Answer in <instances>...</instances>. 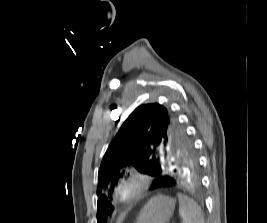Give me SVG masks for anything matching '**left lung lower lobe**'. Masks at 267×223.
I'll return each instance as SVG.
<instances>
[{
  "instance_id": "1",
  "label": "left lung lower lobe",
  "mask_w": 267,
  "mask_h": 223,
  "mask_svg": "<svg viewBox=\"0 0 267 223\" xmlns=\"http://www.w3.org/2000/svg\"><path fill=\"white\" fill-rule=\"evenodd\" d=\"M201 171H169V173H154L158 178L151 186L152 192L165 194H183L184 189H198Z\"/></svg>"
}]
</instances>
